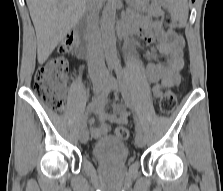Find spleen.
<instances>
[{
    "mask_svg": "<svg viewBox=\"0 0 223 191\" xmlns=\"http://www.w3.org/2000/svg\"><path fill=\"white\" fill-rule=\"evenodd\" d=\"M170 3V12L174 18L181 23H185L188 17L187 0H168Z\"/></svg>",
    "mask_w": 223,
    "mask_h": 191,
    "instance_id": "spleen-1",
    "label": "spleen"
}]
</instances>
